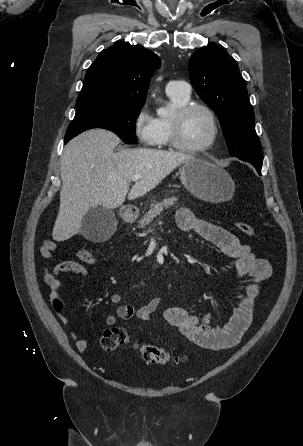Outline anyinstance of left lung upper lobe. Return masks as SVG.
<instances>
[{"label": "left lung upper lobe", "mask_w": 303, "mask_h": 446, "mask_svg": "<svg viewBox=\"0 0 303 446\" xmlns=\"http://www.w3.org/2000/svg\"><path fill=\"white\" fill-rule=\"evenodd\" d=\"M191 84L217 114L230 155L262 168L254 111L236 61L220 46L199 49L190 58Z\"/></svg>", "instance_id": "5c2ea615"}]
</instances>
